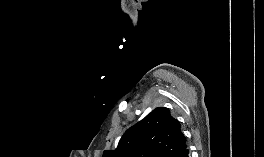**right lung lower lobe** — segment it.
Listing matches in <instances>:
<instances>
[{
  "mask_svg": "<svg viewBox=\"0 0 264 157\" xmlns=\"http://www.w3.org/2000/svg\"><path fill=\"white\" fill-rule=\"evenodd\" d=\"M179 157H189V150L186 148Z\"/></svg>",
  "mask_w": 264,
  "mask_h": 157,
  "instance_id": "obj_1",
  "label": "right lung lower lobe"
}]
</instances>
